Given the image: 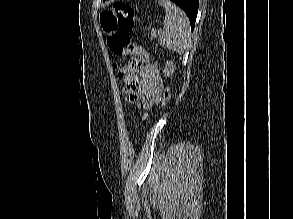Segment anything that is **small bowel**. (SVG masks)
I'll list each match as a JSON object with an SVG mask.
<instances>
[{"label": "small bowel", "mask_w": 293, "mask_h": 219, "mask_svg": "<svg viewBox=\"0 0 293 219\" xmlns=\"http://www.w3.org/2000/svg\"><path fill=\"white\" fill-rule=\"evenodd\" d=\"M124 83L128 101L140 108H149L161 100L163 79L154 64L148 63L139 73L126 74Z\"/></svg>", "instance_id": "c3829d8e"}]
</instances>
